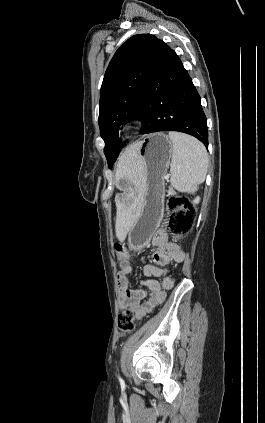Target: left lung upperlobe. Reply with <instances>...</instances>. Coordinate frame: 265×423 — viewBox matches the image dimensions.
I'll list each match as a JSON object with an SVG mask.
<instances>
[{
  "mask_svg": "<svg viewBox=\"0 0 265 423\" xmlns=\"http://www.w3.org/2000/svg\"><path fill=\"white\" fill-rule=\"evenodd\" d=\"M162 43L151 34L132 36L119 47L105 72L98 122L109 168L124 146L118 141V130L136 119L141 94Z\"/></svg>",
  "mask_w": 265,
  "mask_h": 423,
  "instance_id": "5c2ea615",
  "label": "left lung upper lobe"
}]
</instances>
